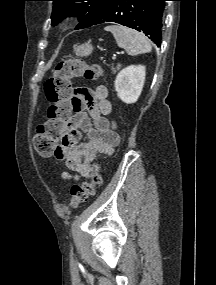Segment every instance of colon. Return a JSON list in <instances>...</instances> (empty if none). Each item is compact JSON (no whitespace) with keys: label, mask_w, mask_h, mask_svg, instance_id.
<instances>
[{"label":"colon","mask_w":216,"mask_h":285,"mask_svg":"<svg viewBox=\"0 0 216 285\" xmlns=\"http://www.w3.org/2000/svg\"><path fill=\"white\" fill-rule=\"evenodd\" d=\"M103 74L98 65H91L82 59H69L57 64L53 75L45 83V94L50 102L48 120L39 125L33 139L36 151L43 157L55 154L58 142L62 139L70 117L74 112L75 93L72 79L83 77L97 79ZM102 183L100 168L93 166L90 180L71 188L70 206L77 208L90 196L95 194L96 188Z\"/></svg>","instance_id":"1"}]
</instances>
